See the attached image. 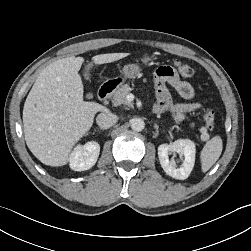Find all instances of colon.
<instances>
[{
    "label": "colon",
    "instance_id": "1",
    "mask_svg": "<svg viewBox=\"0 0 251 251\" xmlns=\"http://www.w3.org/2000/svg\"><path fill=\"white\" fill-rule=\"evenodd\" d=\"M174 67H175L176 72L182 77H191L194 74L193 68L190 65L180 60H176L174 62ZM204 121H205L206 128L208 130H212L214 128L215 114L212 109H207L205 111Z\"/></svg>",
    "mask_w": 251,
    "mask_h": 251
}]
</instances>
